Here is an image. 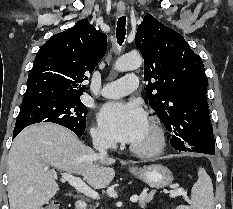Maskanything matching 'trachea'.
Here are the masks:
<instances>
[{
	"instance_id": "1",
	"label": "trachea",
	"mask_w": 233,
	"mask_h": 209,
	"mask_svg": "<svg viewBox=\"0 0 233 209\" xmlns=\"http://www.w3.org/2000/svg\"><path fill=\"white\" fill-rule=\"evenodd\" d=\"M117 42L119 45H122L125 39V34H126V17L125 16H120L117 21Z\"/></svg>"
}]
</instances>
